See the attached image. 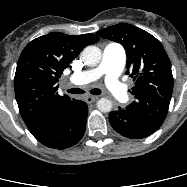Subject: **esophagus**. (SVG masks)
Instances as JSON below:
<instances>
[{
	"label": "esophagus",
	"instance_id": "obj_1",
	"mask_svg": "<svg viewBox=\"0 0 187 187\" xmlns=\"http://www.w3.org/2000/svg\"><path fill=\"white\" fill-rule=\"evenodd\" d=\"M99 99V97L98 96H87L86 97V102L88 103V104H92V103H94L95 101H97Z\"/></svg>",
	"mask_w": 187,
	"mask_h": 187
}]
</instances>
